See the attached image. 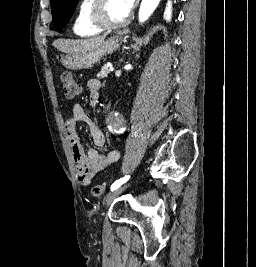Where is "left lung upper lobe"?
<instances>
[{
	"label": "left lung upper lobe",
	"mask_w": 256,
	"mask_h": 267,
	"mask_svg": "<svg viewBox=\"0 0 256 267\" xmlns=\"http://www.w3.org/2000/svg\"><path fill=\"white\" fill-rule=\"evenodd\" d=\"M53 24L58 31L66 24L75 11L78 0H50Z\"/></svg>",
	"instance_id": "obj_1"
}]
</instances>
